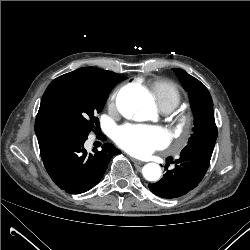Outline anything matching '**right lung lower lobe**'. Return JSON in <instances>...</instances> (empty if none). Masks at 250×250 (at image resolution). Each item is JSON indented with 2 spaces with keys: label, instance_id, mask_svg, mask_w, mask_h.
I'll use <instances>...</instances> for the list:
<instances>
[{
  "label": "right lung lower lobe",
  "instance_id": "obj_1",
  "mask_svg": "<svg viewBox=\"0 0 250 250\" xmlns=\"http://www.w3.org/2000/svg\"><path fill=\"white\" fill-rule=\"evenodd\" d=\"M37 134L44 166L51 179L67 193L80 194L99 183L110 159L120 153L112 144L88 153V134L76 130H42Z\"/></svg>",
  "mask_w": 250,
  "mask_h": 250
}]
</instances>
